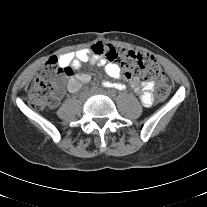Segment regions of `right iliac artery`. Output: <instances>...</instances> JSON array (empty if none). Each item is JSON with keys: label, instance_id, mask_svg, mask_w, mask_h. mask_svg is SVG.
<instances>
[{"label": "right iliac artery", "instance_id": "obj_1", "mask_svg": "<svg viewBox=\"0 0 207 207\" xmlns=\"http://www.w3.org/2000/svg\"><path fill=\"white\" fill-rule=\"evenodd\" d=\"M104 87H111V84L109 82H103Z\"/></svg>", "mask_w": 207, "mask_h": 207}]
</instances>
